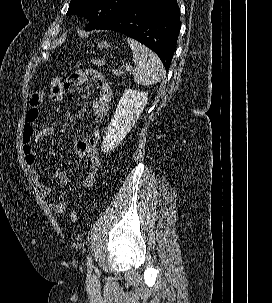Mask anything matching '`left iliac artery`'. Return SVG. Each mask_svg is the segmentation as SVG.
<instances>
[{"instance_id": "1", "label": "left iliac artery", "mask_w": 272, "mask_h": 303, "mask_svg": "<svg viewBox=\"0 0 272 303\" xmlns=\"http://www.w3.org/2000/svg\"><path fill=\"white\" fill-rule=\"evenodd\" d=\"M92 262H93V261H92V257L89 256L88 259H87V270H88V271H91L92 268H93V263H92Z\"/></svg>"}]
</instances>
